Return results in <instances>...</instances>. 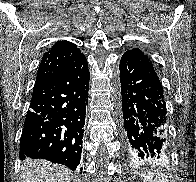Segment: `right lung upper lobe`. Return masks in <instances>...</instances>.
I'll return each mask as SVG.
<instances>
[{
    "mask_svg": "<svg viewBox=\"0 0 196 182\" xmlns=\"http://www.w3.org/2000/svg\"><path fill=\"white\" fill-rule=\"evenodd\" d=\"M82 56L84 55L75 44L65 40L57 41L43 55L34 87L41 85L49 78L62 72Z\"/></svg>",
    "mask_w": 196,
    "mask_h": 182,
    "instance_id": "cb5924a9",
    "label": "right lung upper lobe"
}]
</instances>
